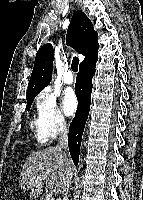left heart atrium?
Listing matches in <instances>:
<instances>
[{"instance_id":"1","label":"left heart atrium","mask_w":143,"mask_h":200,"mask_svg":"<svg viewBox=\"0 0 143 200\" xmlns=\"http://www.w3.org/2000/svg\"><path fill=\"white\" fill-rule=\"evenodd\" d=\"M78 106L76 95L72 89H66L62 96V110L65 115H72Z\"/></svg>"}]
</instances>
